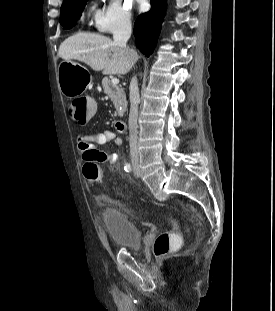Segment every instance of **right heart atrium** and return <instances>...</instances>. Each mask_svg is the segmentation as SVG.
Instances as JSON below:
<instances>
[{
    "label": "right heart atrium",
    "instance_id": "d8ad5b80",
    "mask_svg": "<svg viewBox=\"0 0 275 311\" xmlns=\"http://www.w3.org/2000/svg\"><path fill=\"white\" fill-rule=\"evenodd\" d=\"M94 26L105 34L129 30L132 27L131 4L128 0H108L95 17Z\"/></svg>",
    "mask_w": 275,
    "mask_h": 311
}]
</instances>
